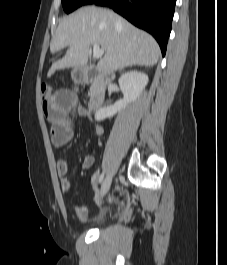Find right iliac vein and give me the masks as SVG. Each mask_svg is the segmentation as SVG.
Here are the masks:
<instances>
[{
    "mask_svg": "<svg viewBox=\"0 0 227 265\" xmlns=\"http://www.w3.org/2000/svg\"><path fill=\"white\" fill-rule=\"evenodd\" d=\"M111 182H112V177L111 176H107L105 178L103 184H102L101 196H104L108 192V190H109V188L111 186Z\"/></svg>",
    "mask_w": 227,
    "mask_h": 265,
    "instance_id": "1",
    "label": "right iliac vein"
}]
</instances>
